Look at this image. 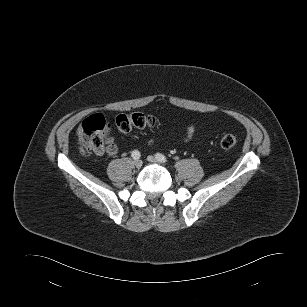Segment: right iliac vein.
Returning <instances> with one entry per match:
<instances>
[{
	"label": "right iliac vein",
	"instance_id": "obj_1",
	"mask_svg": "<svg viewBox=\"0 0 307 307\" xmlns=\"http://www.w3.org/2000/svg\"><path fill=\"white\" fill-rule=\"evenodd\" d=\"M134 166H135L136 168H140V167L142 166V161L139 160V159H136V160L134 161Z\"/></svg>",
	"mask_w": 307,
	"mask_h": 307
}]
</instances>
